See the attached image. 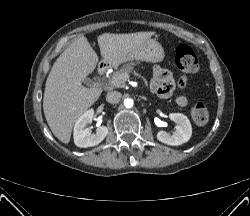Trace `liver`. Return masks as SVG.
I'll return each mask as SVG.
<instances>
[{
    "instance_id": "6515ba94",
    "label": "liver",
    "mask_w": 250,
    "mask_h": 216,
    "mask_svg": "<svg viewBox=\"0 0 250 216\" xmlns=\"http://www.w3.org/2000/svg\"><path fill=\"white\" fill-rule=\"evenodd\" d=\"M154 34L104 33L98 36L97 41L103 60L111 64L119 55L138 47ZM97 63L96 52L87 38L82 36L62 52L47 77L43 98L44 115L53 134L65 144L70 141L77 118L102 93L101 88L82 85V81L95 70Z\"/></svg>"
}]
</instances>
